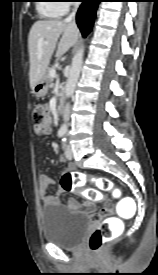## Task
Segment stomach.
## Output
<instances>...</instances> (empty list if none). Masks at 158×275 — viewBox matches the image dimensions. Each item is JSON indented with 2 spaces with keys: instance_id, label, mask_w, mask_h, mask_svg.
<instances>
[{
  "instance_id": "1",
  "label": "stomach",
  "mask_w": 158,
  "mask_h": 275,
  "mask_svg": "<svg viewBox=\"0 0 158 275\" xmlns=\"http://www.w3.org/2000/svg\"><path fill=\"white\" fill-rule=\"evenodd\" d=\"M49 80L45 74L34 86L33 93L36 97H43L48 91Z\"/></svg>"
}]
</instances>
